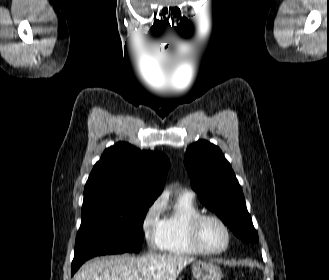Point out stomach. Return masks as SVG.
<instances>
[{"label":"stomach","mask_w":329,"mask_h":280,"mask_svg":"<svg viewBox=\"0 0 329 280\" xmlns=\"http://www.w3.org/2000/svg\"><path fill=\"white\" fill-rule=\"evenodd\" d=\"M192 273L196 280H221L220 267L211 262L198 261L192 266Z\"/></svg>","instance_id":"0dacf381"}]
</instances>
